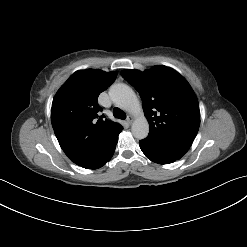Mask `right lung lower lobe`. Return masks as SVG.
I'll use <instances>...</instances> for the list:
<instances>
[{"instance_id":"1","label":"right lung lower lobe","mask_w":247,"mask_h":247,"mask_svg":"<svg viewBox=\"0 0 247 247\" xmlns=\"http://www.w3.org/2000/svg\"><path fill=\"white\" fill-rule=\"evenodd\" d=\"M122 129L118 130L116 133L99 143L97 148L94 150L93 155L79 166L86 169H98L104 166L114 154L118 141V135Z\"/></svg>"}]
</instances>
